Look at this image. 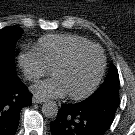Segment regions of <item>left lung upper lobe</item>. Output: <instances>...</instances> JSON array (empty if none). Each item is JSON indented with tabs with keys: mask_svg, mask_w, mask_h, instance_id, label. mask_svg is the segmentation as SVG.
<instances>
[{
	"mask_svg": "<svg viewBox=\"0 0 135 135\" xmlns=\"http://www.w3.org/2000/svg\"><path fill=\"white\" fill-rule=\"evenodd\" d=\"M118 90H119V75L116 67L112 66L104 83L91 96L95 95L104 96L111 91L116 92L118 94Z\"/></svg>",
	"mask_w": 135,
	"mask_h": 135,
	"instance_id": "obj_1",
	"label": "left lung upper lobe"
}]
</instances>
